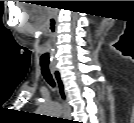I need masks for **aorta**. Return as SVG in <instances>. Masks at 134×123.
Wrapping results in <instances>:
<instances>
[{
    "instance_id": "1",
    "label": "aorta",
    "mask_w": 134,
    "mask_h": 123,
    "mask_svg": "<svg viewBox=\"0 0 134 123\" xmlns=\"http://www.w3.org/2000/svg\"><path fill=\"white\" fill-rule=\"evenodd\" d=\"M40 112L47 116L57 117L63 113V109L60 105L54 102L43 103L40 106Z\"/></svg>"
}]
</instances>
